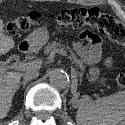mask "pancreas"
Masks as SVG:
<instances>
[{"label": "pancreas", "instance_id": "pancreas-1", "mask_svg": "<svg viewBox=\"0 0 125 125\" xmlns=\"http://www.w3.org/2000/svg\"><path fill=\"white\" fill-rule=\"evenodd\" d=\"M61 49L69 51V53H70L69 58L74 63H76L80 69H82V70L84 69V67L82 65V61L76 57V54L68 46L63 45L62 43L54 41V42L48 44L44 49V53H46V54L55 53ZM91 74L94 78H97V76L99 74V70L97 68H93V69H91Z\"/></svg>", "mask_w": 125, "mask_h": 125}]
</instances>
